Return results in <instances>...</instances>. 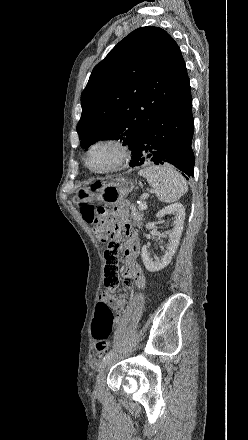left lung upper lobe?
<instances>
[{
  "label": "left lung upper lobe",
  "instance_id": "left-lung-upper-lobe-1",
  "mask_svg": "<svg viewBox=\"0 0 248 440\" xmlns=\"http://www.w3.org/2000/svg\"><path fill=\"white\" fill-rule=\"evenodd\" d=\"M188 86L174 39L159 27L136 29L94 67L82 92L81 147L118 139L132 150L146 126Z\"/></svg>",
  "mask_w": 248,
  "mask_h": 440
}]
</instances>
